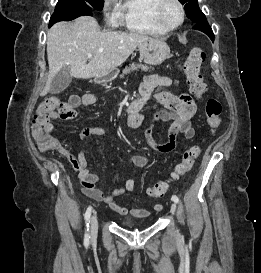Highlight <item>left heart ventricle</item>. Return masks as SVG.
<instances>
[{
	"label": "left heart ventricle",
	"instance_id": "b2bd125f",
	"mask_svg": "<svg viewBox=\"0 0 261 273\" xmlns=\"http://www.w3.org/2000/svg\"><path fill=\"white\" fill-rule=\"evenodd\" d=\"M163 21L170 26L178 23L180 19V12L178 7L173 3H167L162 11Z\"/></svg>",
	"mask_w": 261,
	"mask_h": 273
}]
</instances>
